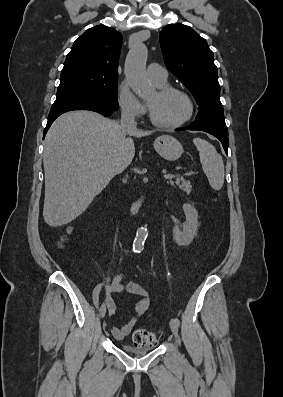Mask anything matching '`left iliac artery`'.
<instances>
[{"label":"left iliac artery","instance_id":"1","mask_svg":"<svg viewBox=\"0 0 283 397\" xmlns=\"http://www.w3.org/2000/svg\"><path fill=\"white\" fill-rule=\"evenodd\" d=\"M175 322H176L177 326H179V325H180V321H179V319H178V318H175Z\"/></svg>","mask_w":283,"mask_h":397}]
</instances>
